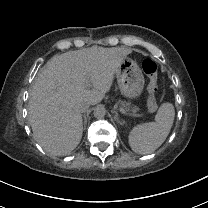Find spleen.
Here are the masks:
<instances>
[{
  "mask_svg": "<svg viewBox=\"0 0 208 208\" xmlns=\"http://www.w3.org/2000/svg\"><path fill=\"white\" fill-rule=\"evenodd\" d=\"M175 116L174 105L164 102L160 105L155 121L136 125L129 132L128 144L139 155H146L158 149L166 140Z\"/></svg>",
  "mask_w": 208,
  "mask_h": 208,
  "instance_id": "spleen-1",
  "label": "spleen"
}]
</instances>
